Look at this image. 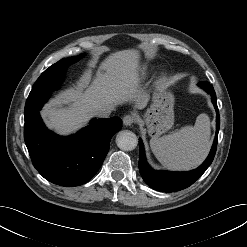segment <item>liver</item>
<instances>
[{
  "mask_svg": "<svg viewBox=\"0 0 247 247\" xmlns=\"http://www.w3.org/2000/svg\"><path fill=\"white\" fill-rule=\"evenodd\" d=\"M139 58L134 49L115 52L102 62L91 83L87 79L85 85L81 82L51 99L42 111L48 127L67 135L85 126L99 108L126 102L144 108L147 94L139 84Z\"/></svg>",
  "mask_w": 247,
  "mask_h": 247,
  "instance_id": "1",
  "label": "liver"
}]
</instances>
